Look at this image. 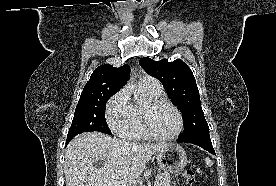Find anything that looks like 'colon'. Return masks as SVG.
I'll list each match as a JSON object with an SVG mask.
<instances>
[{"instance_id": "5ec220e1", "label": "colon", "mask_w": 276, "mask_h": 186, "mask_svg": "<svg viewBox=\"0 0 276 186\" xmlns=\"http://www.w3.org/2000/svg\"><path fill=\"white\" fill-rule=\"evenodd\" d=\"M195 182V174L191 170H186L173 179V186H192Z\"/></svg>"}]
</instances>
